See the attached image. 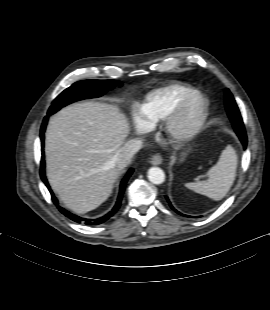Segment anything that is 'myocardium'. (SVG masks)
I'll use <instances>...</instances> for the list:
<instances>
[{"label": "myocardium", "instance_id": "f54148a6", "mask_svg": "<svg viewBox=\"0 0 270 310\" xmlns=\"http://www.w3.org/2000/svg\"><path fill=\"white\" fill-rule=\"evenodd\" d=\"M196 103L197 113L188 124L182 125L181 119L191 104ZM209 112V100L199 90H190L171 108L162 122L164 140L172 145H182L195 139L204 128Z\"/></svg>", "mask_w": 270, "mask_h": 310}]
</instances>
